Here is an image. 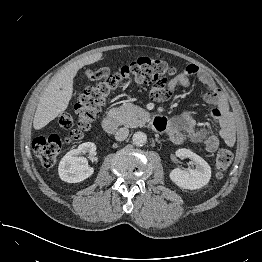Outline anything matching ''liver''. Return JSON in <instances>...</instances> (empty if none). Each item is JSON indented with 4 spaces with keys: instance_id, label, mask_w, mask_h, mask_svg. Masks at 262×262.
I'll return each instance as SVG.
<instances>
[{
    "instance_id": "6515ba94",
    "label": "liver",
    "mask_w": 262,
    "mask_h": 262,
    "mask_svg": "<svg viewBox=\"0 0 262 262\" xmlns=\"http://www.w3.org/2000/svg\"><path fill=\"white\" fill-rule=\"evenodd\" d=\"M101 58L102 53L86 56L68 65L52 78L38 103L33 120L34 129H42L67 109L73 93V79L77 72L85 65L93 64Z\"/></svg>"
}]
</instances>
